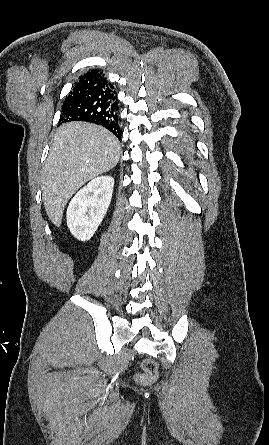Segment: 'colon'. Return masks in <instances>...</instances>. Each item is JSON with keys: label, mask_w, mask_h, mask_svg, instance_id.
I'll return each instance as SVG.
<instances>
[{"label": "colon", "mask_w": 269, "mask_h": 445, "mask_svg": "<svg viewBox=\"0 0 269 445\" xmlns=\"http://www.w3.org/2000/svg\"><path fill=\"white\" fill-rule=\"evenodd\" d=\"M143 372L138 375L137 380L141 383H148L153 381L157 376L158 367L157 364L151 360L146 359L142 363Z\"/></svg>", "instance_id": "5ec220e1"}]
</instances>
